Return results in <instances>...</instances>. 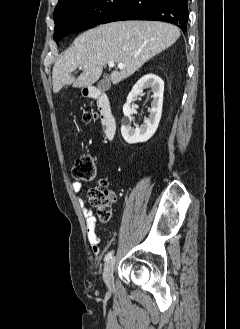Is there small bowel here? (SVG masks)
<instances>
[{
	"label": "small bowel",
	"mask_w": 240,
	"mask_h": 329,
	"mask_svg": "<svg viewBox=\"0 0 240 329\" xmlns=\"http://www.w3.org/2000/svg\"><path fill=\"white\" fill-rule=\"evenodd\" d=\"M82 188L83 185L81 183L79 182L72 183V189L75 193H80ZM78 200L85 217L86 234L89 244L92 248V251L95 254H99L101 252V245H100V238L96 232V218L93 215L92 211L86 206L84 199L79 197Z\"/></svg>",
	"instance_id": "c3829d8e"
}]
</instances>
